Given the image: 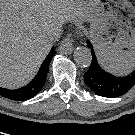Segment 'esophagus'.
<instances>
[{
	"label": "esophagus",
	"mask_w": 135,
	"mask_h": 135,
	"mask_svg": "<svg viewBox=\"0 0 135 135\" xmlns=\"http://www.w3.org/2000/svg\"><path fill=\"white\" fill-rule=\"evenodd\" d=\"M59 51L65 54H71L73 51V46L71 43V36L67 35L59 45Z\"/></svg>",
	"instance_id": "obj_1"
}]
</instances>
